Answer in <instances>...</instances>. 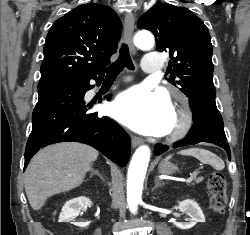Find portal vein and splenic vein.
I'll return each mask as SVG.
<instances>
[{"mask_svg":"<svg viewBox=\"0 0 250 235\" xmlns=\"http://www.w3.org/2000/svg\"><path fill=\"white\" fill-rule=\"evenodd\" d=\"M193 180V176H190L189 178H187L185 181L186 182H191Z\"/></svg>","mask_w":250,"mask_h":235,"instance_id":"obj_1","label":"portal vein and splenic vein"}]
</instances>
